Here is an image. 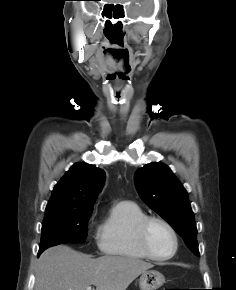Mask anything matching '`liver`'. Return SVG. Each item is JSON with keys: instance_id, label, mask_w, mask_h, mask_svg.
<instances>
[{"instance_id": "6515ba94", "label": "liver", "mask_w": 236, "mask_h": 290, "mask_svg": "<svg viewBox=\"0 0 236 290\" xmlns=\"http://www.w3.org/2000/svg\"><path fill=\"white\" fill-rule=\"evenodd\" d=\"M153 265L132 257L103 256L93 259L65 245L45 250L35 269L34 290H126Z\"/></svg>"}]
</instances>
